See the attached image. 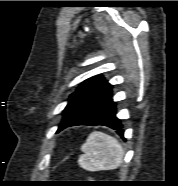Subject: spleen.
I'll use <instances>...</instances> for the list:
<instances>
[{"mask_svg": "<svg viewBox=\"0 0 178 186\" xmlns=\"http://www.w3.org/2000/svg\"><path fill=\"white\" fill-rule=\"evenodd\" d=\"M81 151L83 154L79 158V165L90 171L116 169L124 156L117 139L101 132L91 133L81 146Z\"/></svg>", "mask_w": 178, "mask_h": 186, "instance_id": "obj_1", "label": "spleen"}]
</instances>
